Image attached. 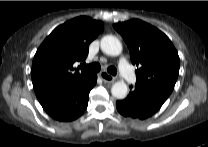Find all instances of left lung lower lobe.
I'll return each mask as SVG.
<instances>
[{
	"instance_id": "1",
	"label": "left lung lower lobe",
	"mask_w": 208,
	"mask_h": 147,
	"mask_svg": "<svg viewBox=\"0 0 208 147\" xmlns=\"http://www.w3.org/2000/svg\"><path fill=\"white\" fill-rule=\"evenodd\" d=\"M167 98L153 89L136 85L124 100L116 102V107L125 117L143 120L157 112Z\"/></svg>"
}]
</instances>
